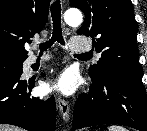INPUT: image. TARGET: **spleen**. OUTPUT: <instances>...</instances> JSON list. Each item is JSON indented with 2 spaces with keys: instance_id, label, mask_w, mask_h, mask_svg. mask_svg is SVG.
I'll use <instances>...</instances> for the list:
<instances>
[{
  "instance_id": "spleen-1",
  "label": "spleen",
  "mask_w": 147,
  "mask_h": 131,
  "mask_svg": "<svg viewBox=\"0 0 147 131\" xmlns=\"http://www.w3.org/2000/svg\"><path fill=\"white\" fill-rule=\"evenodd\" d=\"M109 131H127L123 126H119V125H112L110 127H108Z\"/></svg>"
}]
</instances>
